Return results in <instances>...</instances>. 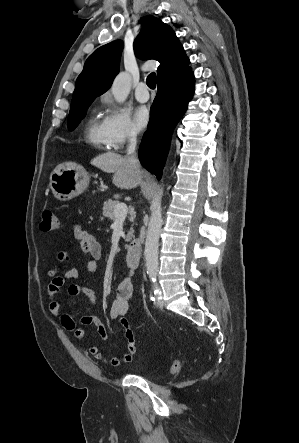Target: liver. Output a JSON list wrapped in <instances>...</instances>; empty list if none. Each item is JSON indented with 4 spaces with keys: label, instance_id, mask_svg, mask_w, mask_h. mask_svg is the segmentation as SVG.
Instances as JSON below:
<instances>
[{
    "label": "liver",
    "instance_id": "1",
    "mask_svg": "<svg viewBox=\"0 0 299 443\" xmlns=\"http://www.w3.org/2000/svg\"><path fill=\"white\" fill-rule=\"evenodd\" d=\"M91 164L106 173H113L112 183L120 189L136 188L144 175L139 165L115 152L99 154L91 160Z\"/></svg>",
    "mask_w": 299,
    "mask_h": 443
}]
</instances>
